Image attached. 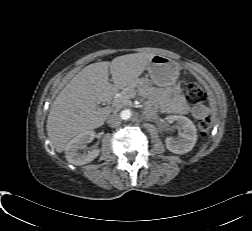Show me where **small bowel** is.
<instances>
[{"label": "small bowel", "instance_id": "small-bowel-1", "mask_svg": "<svg viewBox=\"0 0 252 231\" xmlns=\"http://www.w3.org/2000/svg\"><path fill=\"white\" fill-rule=\"evenodd\" d=\"M165 106L168 111L178 114L191 112L193 117L199 120L209 115V109L206 106L200 105L190 108L182 98H177L173 102H168Z\"/></svg>", "mask_w": 252, "mask_h": 231}]
</instances>
